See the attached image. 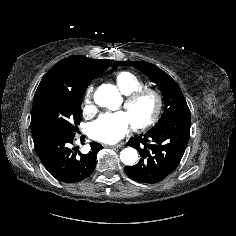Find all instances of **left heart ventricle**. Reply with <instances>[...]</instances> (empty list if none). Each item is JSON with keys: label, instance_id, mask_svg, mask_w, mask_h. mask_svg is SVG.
Returning <instances> with one entry per match:
<instances>
[{"label": "left heart ventricle", "instance_id": "left-heart-ventricle-1", "mask_svg": "<svg viewBox=\"0 0 236 236\" xmlns=\"http://www.w3.org/2000/svg\"><path fill=\"white\" fill-rule=\"evenodd\" d=\"M124 110L131 123H141L151 116L154 110V101L151 97L146 96Z\"/></svg>", "mask_w": 236, "mask_h": 236}]
</instances>
